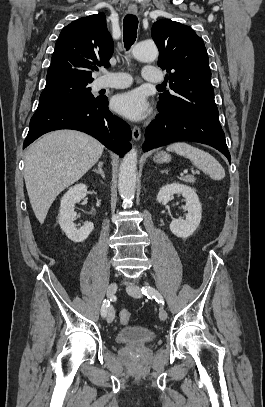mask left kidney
<instances>
[{
  "mask_svg": "<svg viewBox=\"0 0 265 407\" xmlns=\"http://www.w3.org/2000/svg\"><path fill=\"white\" fill-rule=\"evenodd\" d=\"M174 194H181L186 201L183 208L188 211L185 220L173 219L170 223L171 232L179 238H188L198 228L202 217V206L194 189L180 183L163 186L157 195V201L167 204Z\"/></svg>",
  "mask_w": 265,
  "mask_h": 407,
  "instance_id": "left-kidney-1",
  "label": "left kidney"
}]
</instances>
